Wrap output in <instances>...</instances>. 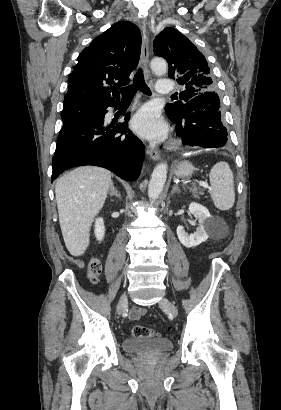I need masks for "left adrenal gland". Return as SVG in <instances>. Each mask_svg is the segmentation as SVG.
I'll return each instance as SVG.
<instances>
[{
  "label": "left adrenal gland",
  "mask_w": 281,
  "mask_h": 410,
  "mask_svg": "<svg viewBox=\"0 0 281 410\" xmlns=\"http://www.w3.org/2000/svg\"><path fill=\"white\" fill-rule=\"evenodd\" d=\"M176 192H178V193L181 192V190H180L179 187H178V184H174V186H173V188H172L170 194H171V195H174V193H176Z\"/></svg>",
  "instance_id": "1"
}]
</instances>
